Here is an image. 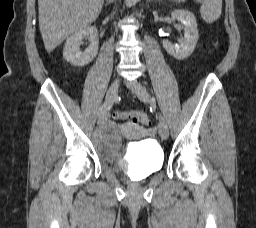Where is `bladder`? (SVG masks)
Wrapping results in <instances>:
<instances>
[{
	"instance_id": "1",
	"label": "bladder",
	"mask_w": 256,
	"mask_h": 228,
	"mask_svg": "<svg viewBox=\"0 0 256 228\" xmlns=\"http://www.w3.org/2000/svg\"><path fill=\"white\" fill-rule=\"evenodd\" d=\"M93 143L98 155L112 163L117 172L136 179H144L163 166V150L152 140L133 143L122 153L121 131L114 125L96 133Z\"/></svg>"
}]
</instances>
